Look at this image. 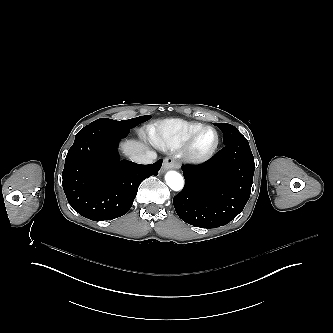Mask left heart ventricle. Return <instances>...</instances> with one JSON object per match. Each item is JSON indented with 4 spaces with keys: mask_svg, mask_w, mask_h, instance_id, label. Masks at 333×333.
I'll use <instances>...</instances> for the list:
<instances>
[{
    "mask_svg": "<svg viewBox=\"0 0 333 333\" xmlns=\"http://www.w3.org/2000/svg\"><path fill=\"white\" fill-rule=\"evenodd\" d=\"M216 136L213 130H203L193 143V151L196 154H204L209 151L215 144Z\"/></svg>",
    "mask_w": 333,
    "mask_h": 333,
    "instance_id": "obj_1",
    "label": "left heart ventricle"
}]
</instances>
